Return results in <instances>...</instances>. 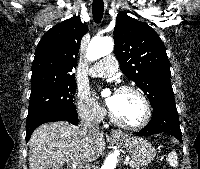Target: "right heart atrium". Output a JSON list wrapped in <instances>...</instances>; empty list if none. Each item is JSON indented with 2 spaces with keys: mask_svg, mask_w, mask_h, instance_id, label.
Instances as JSON below:
<instances>
[{
  "mask_svg": "<svg viewBox=\"0 0 200 169\" xmlns=\"http://www.w3.org/2000/svg\"><path fill=\"white\" fill-rule=\"evenodd\" d=\"M79 117L87 122L100 123L105 119L106 111L89 94L79 92L76 99Z\"/></svg>",
  "mask_w": 200,
  "mask_h": 169,
  "instance_id": "obj_1",
  "label": "right heart atrium"
}]
</instances>
